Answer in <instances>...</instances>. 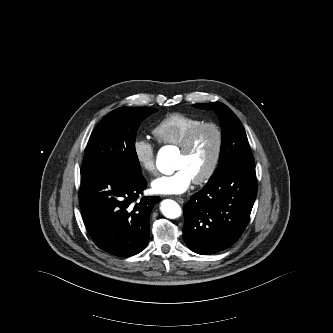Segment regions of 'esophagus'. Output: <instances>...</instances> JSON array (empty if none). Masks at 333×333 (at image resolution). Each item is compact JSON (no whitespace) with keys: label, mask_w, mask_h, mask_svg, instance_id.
Here are the masks:
<instances>
[{"label":"esophagus","mask_w":333,"mask_h":333,"mask_svg":"<svg viewBox=\"0 0 333 333\" xmlns=\"http://www.w3.org/2000/svg\"><path fill=\"white\" fill-rule=\"evenodd\" d=\"M175 200L180 203V204H183L184 203V199L181 198V197H175Z\"/></svg>","instance_id":"obj_1"}]
</instances>
